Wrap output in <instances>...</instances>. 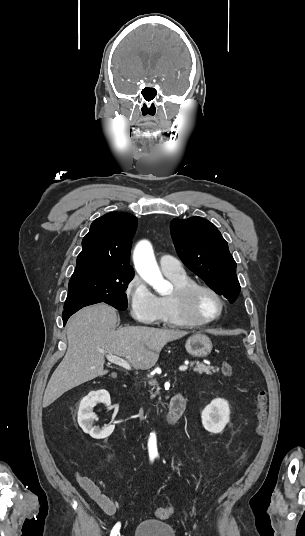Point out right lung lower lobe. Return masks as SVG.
Instances as JSON below:
<instances>
[{
	"label": "right lung lower lobe",
	"instance_id": "98d812e1",
	"mask_svg": "<svg viewBox=\"0 0 305 536\" xmlns=\"http://www.w3.org/2000/svg\"><path fill=\"white\" fill-rule=\"evenodd\" d=\"M79 309L81 308H73V309H66L63 311V314H62V318H63V323L64 325L66 324V321L68 320V318L74 314L75 312H77Z\"/></svg>",
	"mask_w": 305,
	"mask_h": 536
}]
</instances>
